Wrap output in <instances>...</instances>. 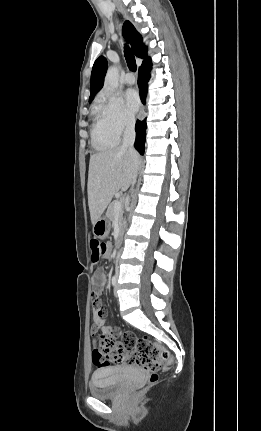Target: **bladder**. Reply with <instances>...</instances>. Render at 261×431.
I'll return each mask as SVG.
<instances>
[{
  "instance_id": "1",
  "label": "bladder",
  "mask_w": 261,
  "mask_h": 431,
  "mask_svg": "<svg viewBox=\"0 0 261 431\" xmlns=\"http://www.w3.org/2000/svg\"><path fill=\"white\" fill-rule=\"evenodd\" d=\"M125 369L117 367L101 368L93 372L89 383L92 396L99 399L115 397L123 388Z\"/></svg>"
}]
</instances>
